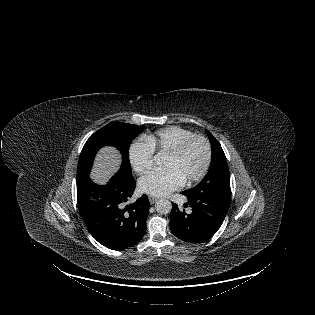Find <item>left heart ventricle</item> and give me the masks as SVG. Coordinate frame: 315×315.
<instances>
[{
    "label": "left heart ventricle",
    "instance_id": "left-heart-ventricle-1",
    "mask_svg": "<svg viewBox=\"0 0 315 315\" xmlns=\"http://www.w3.org/2000/svg\"><path fill=\"white\" fill-rule=\"evenodd\" d=\"M205 160V146L201 141L193 142L180 156L167 155L164 165L176 169L187 180L195 176Z\"/></svg>",
    "mask_w": 315,
    "mask_h": 315
}]
</instances>
